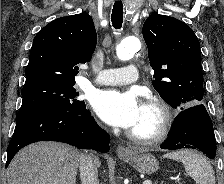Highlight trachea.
<instances>
[{"mask_svg":"<svg viewBox=\"0 0 224 184\" xmlns=\"http://www.w3.org/2000/svg\"><path fill=\"white\" fill-rule=\"evenodd\" d=\"M111 21L115 29H120L123 23V4L122 1H116L113 5Z\"/></svg>","mask_w":224,"mask_h":184,"instance_id":"3493384b","label":"trachea"}]
</instances>
